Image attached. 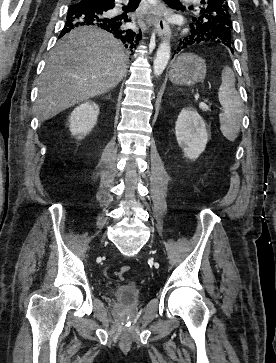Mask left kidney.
Returning a JSON list of instances; mask_svg holds the SVG:
<instances>
[{"label": "left kidney", "mask_w": 276, "mask_h": 363, "mask_svg": "<svg viewBox=\"0 0 276 363\" xmlns=\"http://www.w3.org/2000/svg\"><path fill=\"white\" fill-rule=\"evenodd\" d=\"M175 135L184 156L191 160L200 156L208 142L205 122L191 107L181 110L175 124Z\"/></svg>", "instance_id": "left-kidney-1"}]
</instances>
